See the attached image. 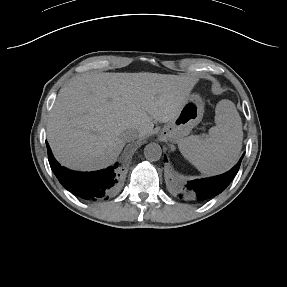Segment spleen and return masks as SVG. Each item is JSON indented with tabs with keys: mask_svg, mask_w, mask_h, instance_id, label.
Here are the masks:
<instances>
[{
	"mask_svg": "<svg viewBox=\"0 0 287 287\" xmlns=\"http://www.w3.org/2000/svg\"><path fill=\"white\" fill-rule=\"evenodd\" d=\"M215 123L207 135H191L178 142L182 155L208 175L231 169L239 159L243 141L241 117L231 101L217 104Z\"/></svg>",
	"mask_w": 287,
	"mask_h": 287,
	"instance_id": "3e777b00",
	"label": "spleen"
}]
</instances>
